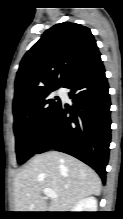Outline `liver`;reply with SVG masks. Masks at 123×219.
<instances>
[{"label":"liver","mask_w":123,"mask_h":219,"mask_svg":"<svg viewBox=\"0 0 123 219\" xmlns=\"http://www.w3.org/2000/svg\"><path fill=\"white\" fill-rule=\"evenodd\" d=\"M52 189L58 197L48 207L43 190ZM102 182L98 174L80 160L50 151L36 155L15 176V212H69L80 200L99 196Z\"/></svg>","instance_id":"6515ba94"}]
</instances>
